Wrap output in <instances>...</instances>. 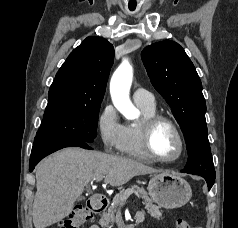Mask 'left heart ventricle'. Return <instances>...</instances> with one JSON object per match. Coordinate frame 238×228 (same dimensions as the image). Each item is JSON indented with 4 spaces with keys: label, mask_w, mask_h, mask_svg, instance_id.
<instances>
[{
    "label": "left heart ventricle",
    "mask_w": 238,
    "mask_h": 228,
    "mask_svg": "<svg viewBox=\"0 0 238 228\" xmlns=\"http://www.w3.org/2000/svg\"><path fill=\"white\" fill-rule=\"evenodd\" d=\"M152 146L154 152L162 158H173L179 152L178 139L171 127L165 123L157 127L153 135Z\"/></svg>",
    "instance_id": "1"
}]
</instances>
